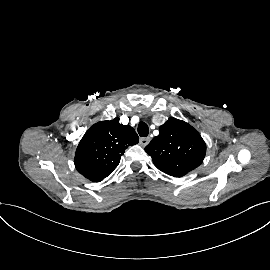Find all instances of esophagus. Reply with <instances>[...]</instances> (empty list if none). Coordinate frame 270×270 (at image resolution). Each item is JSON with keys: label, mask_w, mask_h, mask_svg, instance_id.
Wrapping results in <instances>:
<instances>
[{"label": "esophagus", "mask_w": 270, "mask_h": 270, "mask_svg": "<svg viewBox=\"0 0 270 270\" xmlns=\"http://www.w3.org/2000/svg\"><path fill=\"white\" fill-rule=\"evenodd\" d=\"M150 137H142L140 138V145L145 147L150 142Z\"/></svg>", "instance_id": "1"}]
</instances>
